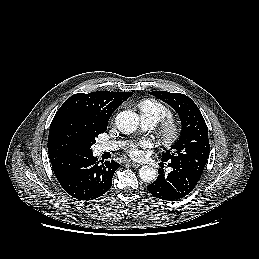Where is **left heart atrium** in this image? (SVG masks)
Instances as JSON below:
<instances>
[{
  "label": "left heart atrium",
  "mask_w": 259,
  "mask_h": 259,
  "mask_svg": "<svg viewBox=\"0 0 259 259\" xmlns=\"http://www.w3.org/2000/svg\"><path fill=\"white\" fill-rule=\"evenodd\" d=\"M140 145L144 146V143H141ZM128 154L131 157L137 158L141 155V152L138 149V145H130L127 149Z\"/></svg>",
  "instance_id": "obj_1"
}]
</instances>
